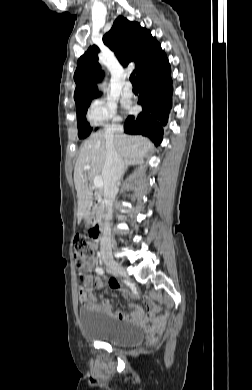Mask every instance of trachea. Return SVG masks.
Instances as JSON below:
<instances>
[{
    "label": "trachea",
    "instance_id": "obj_1",
    "mask_svg": "<svg viewBox=\"0 0 252 390\" xmlns=\"http://www.w3.org/2000/svg\"><path fill=\"white\" fill-rule=\"evenodd\" d=\"M130 81L133 85V87H138V84H137V81H136V77H135V73H132L131 76H130Z\"/></svg>",
    "mask_w": 252,
    "mask_h": 390
}]
</instances>
